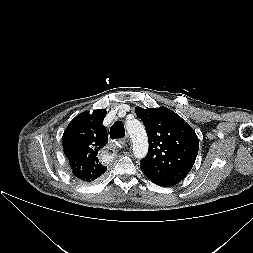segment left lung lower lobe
I'll return each instance as SVG.
<instances>
[{"instance_id": "1", "label": "left lung lower lobe", "mask_w": 253, "mask_h": 253, "mask_svg": "<svg viewBox=\"0 0 253 253\" xmlns=\"http://www.w3.org/2000/svg\"><path fill=\"white\" fill-rule=\"evenodd\" d=\"M158 185H160V186H164V185H161V184H158ZM164 187H168V186H164Z\"/></svg>"}]
</instances>
